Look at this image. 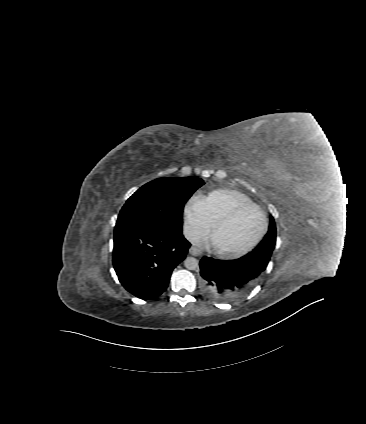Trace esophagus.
<instances>
[{
    "instance_id": "esophagus-1",
    "label": "esophagus",
    "mask_w": 366,
    "mask_h": 424,
    "mask_svg": "<svg viewBox=\"0 0 366 424\" xmlns=\"http://www.w3.org/2000/svg\"><path fill=\"white\" fill-rule=\"evenodd\" d=\"M189 253H190L191 255H193V256H200V255L202 254L201 250H200V249H198V248H196V247H194V246H192V247L189 249Z\"/></svg>"
}]
</instances>
